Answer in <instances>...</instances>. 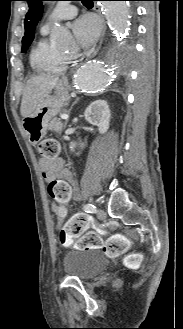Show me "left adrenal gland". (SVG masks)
Segmentation results:
<instances>
[{"label":"left adrenal gland","mask_w":183,"mask_h":329,"mask_svg":"<svg viewBox=\"0 0 183 329\" xmlns=\"http://www.w3.org/2000/svg\"><path fill=\"white\" fill-rule=\"evenodd\" d=\"M79 101V98H76V100L73 102V104H72V107L77 103ZM71 107V108H72ZM67 123V122H66ZM66 123H65V125H66Z\"/></svg>","instance_id":"obj_1"}]
</instances>
